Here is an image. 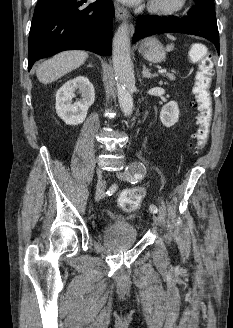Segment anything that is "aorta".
Here are the masks:
<instances>
[{
    "label": "aorta",
    "instance_id": "762f6f07",
    "mask_svg": "<svg viewBox=\"0 0 233 328\" xmlns=\"http://www.w3.org/2000/svg\"><path fill=\"white\" fill-rule=\"evenodd\" d=\"M112 59L118 87V101L122 111L130 115L133 109L135 79L129 58V32L124 22L113 37Z\"/></svg>",
    "mask_w": 233,
    "mask_h": 328
}]
</instances>
